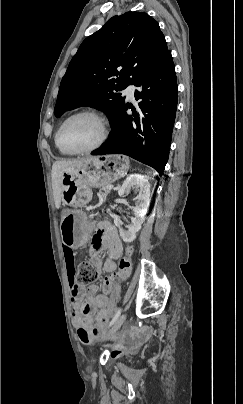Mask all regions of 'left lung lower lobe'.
I'll return each mask as SVG.
<instances>
[{
  "label": "left lung lower lobe",
  "mask_w": 243,
  "mask_h": 404,
  "mask_svg": "<svg viewBox=\"0 0 243 404\" xmlns=\"http://www.w3.org/2000/svg\"><path fill=\"white\" fill-rule=\"evenodd\" d=\"M142 113L127 115L125 105L118 120L111 124L107 141L93 155L125 154L163 174L168 161L176 115L178 90L175 67L169 51L160 62L135 82Z\"/></svg>",
  "instance_id": "left-lung-lower-lobe-1"
}]
</instances>
